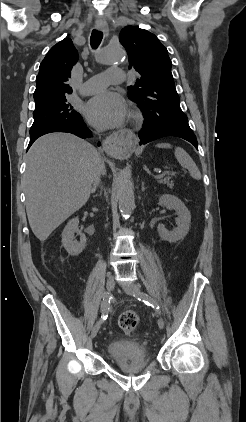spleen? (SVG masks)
<instances>
[{"label": "spleen", "mask_w": 246, "mask_h": 422, "mask_svg": "<svg viewBox=\"0 0 246 422\" xmlns=\"http://www.w3.org/2000/svg\"><path fill=\"white\" fill-rule=\"evenodd\" d=\"M157 147H159V148H171L172 146L168 143H160V144L157 145ZM175 157L182 167L188 169L192 178H194L196 180L201 179V173H200L198 167L196 166L193 159L189 156V154L183 148L175 147Z\"/></svg>", "instance_id": "3e777b00"}]
</instances>
